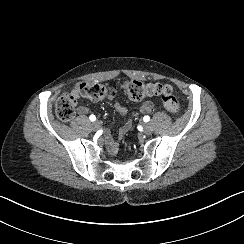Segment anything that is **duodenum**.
<instances>
[{"label": "duodenum", "mask_w": 244, "mask_h": 244, "mask_svg": "<svg viewBox=\"0 0 244 244\" xmlns=\"http://www.w3.org/2000/svg\"><path fill=\"white\" fill-rule=\"evenodd\" d=\"M112 147H115V143L114 142H112Z\"/></svg>", "instance_id": "1"}]
</instances>
